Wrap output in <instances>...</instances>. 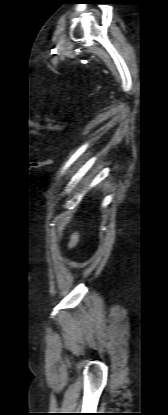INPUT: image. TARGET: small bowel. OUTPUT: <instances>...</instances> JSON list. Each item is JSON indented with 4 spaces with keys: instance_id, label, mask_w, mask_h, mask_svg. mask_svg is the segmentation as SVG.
<instances>
[{
    "instance_id": "obj_1",
    "label": "small bowel",
    "mask_w": 168,
    "mask_h": 415,
    "mask_svg": "<svg viewBox=\"0 0 168 415\" xmlns=\"http://www.w3.org/2000/svg\"><path fill=\"white\" fill-rule=\"evenodd\" d=\"M77 240H78L77 236L73 235L70 239L69 246L71 248L74 247L77 244Z\"/></svg>"
}]
</instances>
